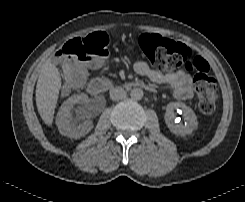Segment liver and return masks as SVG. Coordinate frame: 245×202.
<instances>
[{
	"label": "liver",
	"instance_id": "liver-1",
	"mask_svg": "<svg viewBox=\"0 0 245 202\" xmlns=\"http://www.w3.org/2000/svg\"><path fill=\"white\" fill-rule=\"evenodd\" d=\"M61 80L57 67L47 61L41 69L36 85V106L42 120L48 126L53 123Z\"/></svg>",
	"mask_w": 245,
	"mask_h": 202
}]
</instances>
